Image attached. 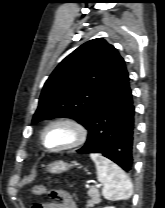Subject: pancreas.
Masks as SVG:
<instances>
[{
  "instance_id": "pancreas-1",
  "label": "pancreas",
  "mask_w": 165,
  "mask_h": 208,
  "mask_svg": "<svg viewBox=\"0 0 165 208\" xmlns=\"http://www.w3.org/2000/svg\"><path fill=\"white\" fill-rule=\"evenodd\" d=\"M88 195L91 199L87 201V207L93 206L101 202L100 193L97 189L91 188L88 191Z\"/></svg>"
}]
</instances>
